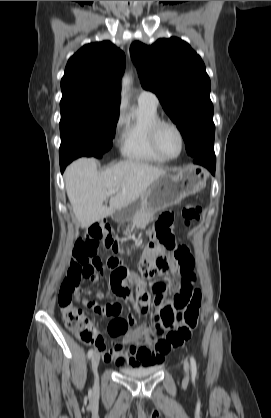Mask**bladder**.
Here are the masks:
<instances>
[{
  "instance_id": "obj_1",
  "label": "bladder",
  "mask_w": 271,
  "mask_h": 418,
  "mask_svg": "<svg viewBox=\"0 0 271 418\" xmlns=\"http://www.w3.org/2000/svg\"><path fill=\"white\" fill-rule=\"evenodd\" d=\"M160 364L142 366V367H123L120 369L121 373L133 378H145L160 370Z\"/></svg>"
}]
</instances>
